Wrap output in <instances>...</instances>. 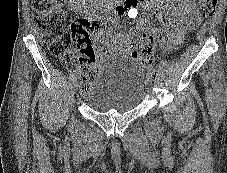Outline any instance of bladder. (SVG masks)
Returning a JSON list of instances; mask_svg holds the SVG:
<instances>
[{
    "label": "bladder",
    "instance_id": "1",
    "mask_svg": "<svg viewBox=\"0 0 227 173\" xmlns=\"http://www.w3.org/2000/svg\"><path fill=\"white\" fill-rule=\"evenodd\" d=\"M145 95L144 69L131 58L103 65L91 81L84 101L99 113H126L134 110Z\"/></svg>",
    "mask_w": 227,
    "mask_h": 173
}]
</instances>
